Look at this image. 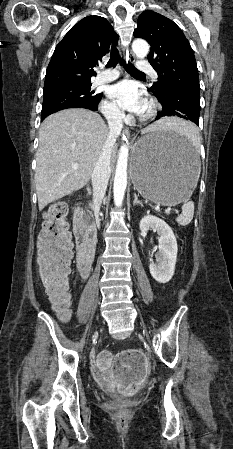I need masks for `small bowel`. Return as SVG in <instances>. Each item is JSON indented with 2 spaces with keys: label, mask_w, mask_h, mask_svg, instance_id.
Returning a JSON list of instances; mask_svg holds the SVG:
<instances>
[{
  "label": "small bowel",
  "mask_w": 233,
  "mask_h": 449,
  "mask_svg": "<svg viewBox=\"0 0 233 449\" xmlns=\"http://www.w3.org/2000/svg\"><path fill=\"white\" fill-rule=\"evenodd\" d=\"M83 278L87 279L88 275L84 274ZM115 362L112 363V354L108 351L100 352L95 359L96 367L106 371V377H110L111 393L129 399L135 390H140L142 377H145L150 364V355L141 354L140 347H125L124 354L115 355Z\"/></svg>",
  "instance_id": "1"
}]
</instances>
